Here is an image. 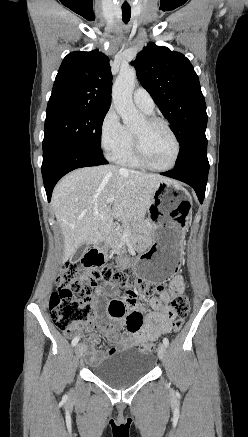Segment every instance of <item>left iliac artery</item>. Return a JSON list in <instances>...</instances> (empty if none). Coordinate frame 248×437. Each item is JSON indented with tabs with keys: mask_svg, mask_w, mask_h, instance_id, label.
Here are the masks:
<instances>
[{
	"mask_svg": "<svg viewBox=\"0 0 248 437\" xmlns=\"http://www.w3.org/2000/svg\"><path fill=\"white\" fill-rule=\"evenodd\" d=\"M163 344L168 347L169 346V340L167 338H163Z\"/></svg>",
	"mask_w": 248,
	"mask_h": 437,
	"instance_id": "44dca946",
	"label": "left iliac artery"
}]
</instances>
